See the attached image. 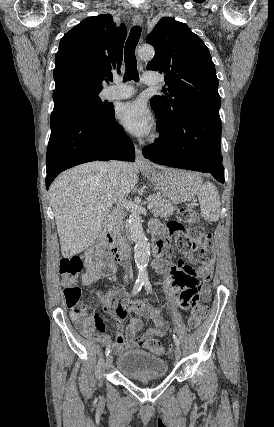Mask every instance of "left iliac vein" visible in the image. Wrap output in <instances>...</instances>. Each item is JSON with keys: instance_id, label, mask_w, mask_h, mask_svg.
<instances>
[{"instance_id": "left-iliac-vein-1", "label": "left iliac vein", "mask_w": 274, "mask_h": 427, "mask_svg": "<svg viewBox=\"0 0 274 427\" xmlns=\"http://www.w3.org/2000/svg\"><path fill=\"white\" fill-rule=\"evenodd\" d=\"M174 355H175V359L177 361H179L181 359V349L178 345H176L174 348Z\"/></svg>"}]
</instances>
